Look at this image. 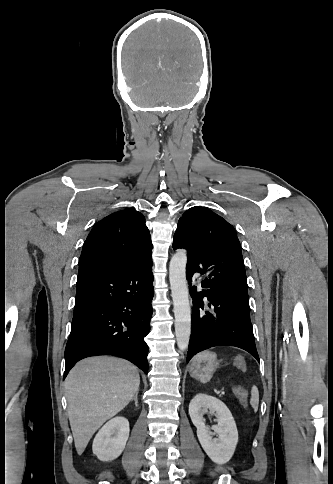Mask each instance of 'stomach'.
Masks as SVG:
<instances>
[{
	"instance_id": "obj_1",
	"label": "stomach",
	"mask_w": 333,
	"mask_h": 484,
	"mask_svg": "<svg viewBox=\"0 0 333 484\" xmlns=\"http://www.w3.org/2000/svg\"><path fill=\"white\" fill-rule=\"evenodd\" d=\"M219 363L220 361L215 353L204 351L191 360L189 371L193 378L198 379L202 383H206L212 378Z\"/></svg>"
}]
</instances>
